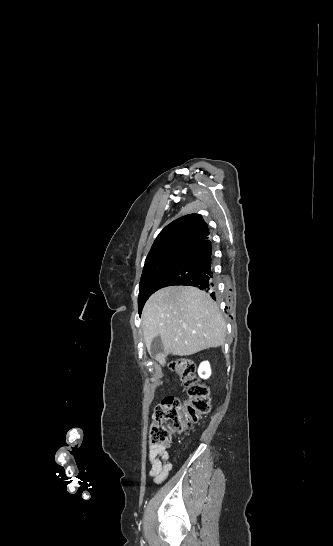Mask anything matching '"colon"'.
<instances>
[{"instance_id": "5ec220e1", "label": "colon", "mask_w": 333, "mask_h": 546, "mask_svg": "<svg viewBox=\"0 0 333 546\" xmlns=\"http://www.w3.org/2000/svg\"><path fill=\"white\" fill-rule=\"evenodd\" d=\"M170 367L186 386L188 400L168 396L155 408L150 429V442L167 447L172 434L191 428L210 412V391L196 375L195 364L187 358H178Z\"/></svg>"}]
</instances>
